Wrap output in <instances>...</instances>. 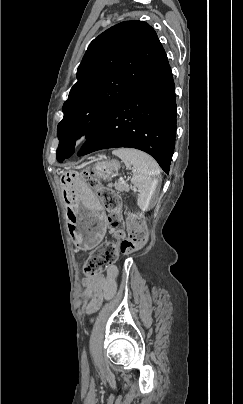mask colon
<instances>
[{
	"mask_svg": "<svg viewBox=\"0 0 243 404\" xmlns=\"http://www.w3.org/2000/svg\"><path fill=\"white\" fill-rule=\"evenodd\" d=\"M84 176L105 208L109 230L117 240L102 243L88 257L84 273L87 277H94L103 268L115 262L119 252L130 254L141 249L147 240V228L144 220L135 215H131L125 224L118 194L113 189L101 185L92 172L86 171Z\"/></svg>",
	"mask_w": 243,
	"mask_h": 404,
	"instance_id": "obj_1",
	"label": "colon"
}]
</instances>
